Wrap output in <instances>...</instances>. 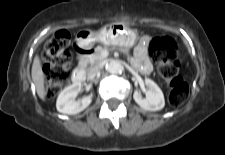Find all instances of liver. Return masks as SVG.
<instances>
[{
	"mask_svg": "<svg viewBox=\"0 0 225 155\" xmlns=\"http://www.w3.org/2000/svg\"><path fill=\"white\" fill-rule=\"evenodd\" d=\"M31 75H32V80L36 87L38 96L42 100H44L45 99L44 73H43L41 61L38 55H36L34 58Z\"/></svg>",
	"mask_w": 225,
	"mask_h": 155,
	"instance_id": "obj_1",
	"label": "liver"
}]
</instances>
